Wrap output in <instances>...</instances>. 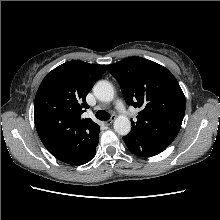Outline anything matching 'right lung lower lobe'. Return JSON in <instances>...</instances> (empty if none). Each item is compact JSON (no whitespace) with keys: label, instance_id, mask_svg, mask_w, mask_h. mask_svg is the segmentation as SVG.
<instances>
[{"label":"right lung lower lobe","instance_id":"obj_1","mask_svg":"<svg viewBox=\"0 0 220 220\" xmlns=\"http://www.w3.org/2000/svg\"><path fill=\"white\" fill-rule=\"evenodd\" d=\"M98 140L95 142V144L90 149H88L83 155H81L78 159H76L70 164L83 165L89 162L92 158H94L95 153H96V146L98 145Z\"/></svg>","mask_w":220,"mask_h":220}]
</instances>
